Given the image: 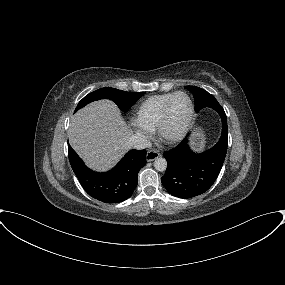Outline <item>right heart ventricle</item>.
I'll list each match as a JSON object with an SVG mask.
<instances>
[{"instance_id":"e07e8e85","label":"right heart ventricle","mask_w":285,"mask_h":285,"mask_svg":"<svg viewBox=\"0 0 285 285\" xmlns=\"http://www.w3.org/2000/svg\"><path fill=\"white\" fill-rule=\"evenodd\" d=\"M173 93L153 95L143 100L136 109L135 121L148 130H154L159 123L163 107Z\"/></svg>"}]
</instances>
